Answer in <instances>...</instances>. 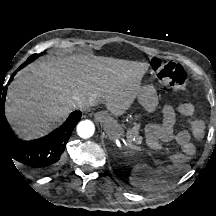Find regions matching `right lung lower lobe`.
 <instances>
[{"label":"right lung lower lobe","instance_id":"obj_1","mask_svg":"<svg viewBox=\"0 0 216 216\" xmlns=\"http://www.w3.org/2000/svg\"><path fill=\"white\" fill-rule=\"evenodd\" d=\"M6 91L7 88L0 91V158L19 162L37 174L53 172L61 163L66 143L81 119V112H72L56 131L40 139L23 141L15 136L5 117Z\"/></svg>","mask_w":216,"mask_h":216}]
</instances>
